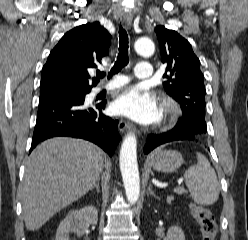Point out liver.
I'll return each instance as SVG.
<instances>
[{"mask_svg":"<svg viewBox=\"0 0 248 240\" xmlns=\"http://www.w3.org/2000/svg\"><path fill=\"white\" fill-rule=\"evenodd\" d=\"M106 157L96 145L57 137L38 145L26 160L21 187L24 221L29 231L91 190Z\"/></svg>","mask_w":248,"mask_h":240,"instance_id":"liver-1","label":"liver"}]
</instances>
